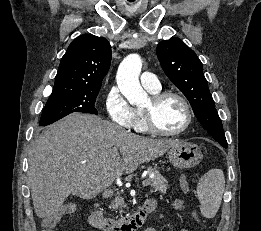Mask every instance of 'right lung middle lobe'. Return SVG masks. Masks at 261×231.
Here are the masks:
<instances>
[{"label":"right lung middle lobe","instance_id":"obj_1","mask_svg":"<svg viewBox=\"0 0 261 231\" xmlns=\"http://www.w3.org/2000/svg\"><path fill=\"white\" fill-rule=\"evenodd\" d=\"M100 89H55L40 119V126L49 125L72 112L98 114L94 104Z\"/></svg>","mask_w":261,"mask_h":231}]
</instances>
